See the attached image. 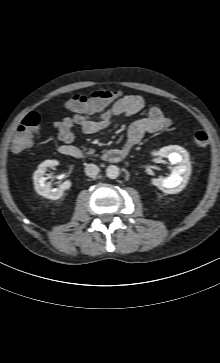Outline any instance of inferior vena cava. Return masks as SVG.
<instances>
[{
	"label": "inferior vena cava",
	"instance_id": "obj_1",
	"mask_svg": "<svg viewBox=\"0 0 220 363\" xmlns=\"http://www.w3.org/2000/svg\"><path fill=\"white\" fill-rule=\"evenodd\" d=\"M85 173L89 177H95L99 173V168L95 164H87L85 167Z\"/></svg>",
	"mask_w": 220,
	"mask_h": 363
}]
</instances>
